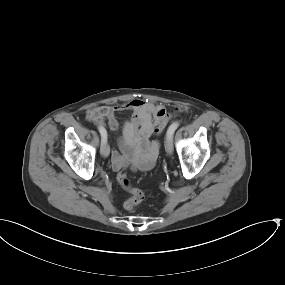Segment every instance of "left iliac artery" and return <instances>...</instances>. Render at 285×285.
<instances>
[{
  "instance_id": "left-iliac-artery-1",
  "label": "left iliac artery",
  "mask_w": 285,
  "mask_h": 285,
  "mask_svg": "<svg viewBox=\"0 0 285 285\" xmlns=\"http://www.w3.org/2000/svg\"><path fill=\"white\" fill-rule=\"evenodd\" d=\"M179 127V122H174L172 123L167 131V135H172L174 134L175 130Z\"/></svg>"
}]
</instances>
